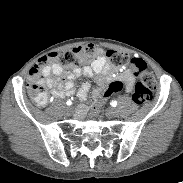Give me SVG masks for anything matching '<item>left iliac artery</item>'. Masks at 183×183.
<instances>
[{
    "label": "left iliac artery",
    "mask_w": 183,
    "mask_h": 183,
    "mask_svg": "<svg viewBox=\"0 0 183 183\" xmlns=\"http://www.w3.org/2000/svg\"><path fill=\"white\" fill-rule=\"evenodd\" d=\"M111 105H112L113 107H116V106H117V101H116V100L112 101Z\"/></svg>",
    "instance_id": "1"
}]
</instances>
